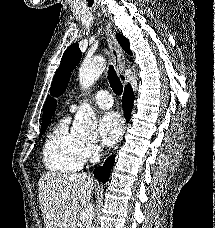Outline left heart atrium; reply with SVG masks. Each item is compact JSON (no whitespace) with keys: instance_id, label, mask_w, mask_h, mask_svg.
I'll return each instance as SVG.
<instances>
[{"instance_id":"left-heart-atrium-1","label":"left heart atrium","mask_w":215,"mask_h":228,"mask_svg":"<svg viewBox=\"0 0 215 228\" xmlns=\"http://www.w3.org/2000/svg\"><path fill=\"white\" fill-rule=\"evenodd\" d=\"M99 139L105 146H113L123 133V122L115 112L104 114L98 123Z\"/></svg>"}]
</instances>
